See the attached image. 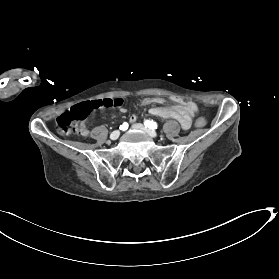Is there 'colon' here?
Instances as JSON below:
<instances>
[{
  "label": "colon",
  "instance_id": "colon-1",
  "mask_svg": "<svg viewBox=\"0 0 279 279\" xmlns=\"http://www.w3.org/2000/svg\"><path fill=\"white\" fill-rule=\"evenodd\" d=\"M179 101L185 106V108L192 114H195L199 110V106L192 98L189 97H177ZM123 105L122 98H105L94 100L90 102H82L74 105L68 111L59 115L56 119L58 130L62 134L79 133V124L84 117L94 109L102 107H120ZM206 125V119L204 117H198L196 119L197 127H204Z\"/></svg>",
  "mask_w": 279,
  "mask_h": 279
}]
</instances>
